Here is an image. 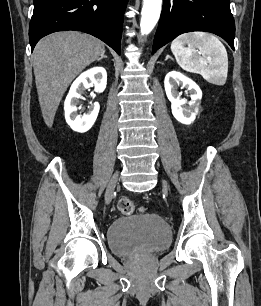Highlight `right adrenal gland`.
Masks as SVG:
<instances>
[{
	"instance_id": "2a0ac1e0",
	"label": "right adrenal gland",
	"mask_w": 261,
	"mask_h": 306,
	"mask_svg": "<svg viewBox=\"0 0 261 306\" xmlns=\"http://www.w3.org/2000/svg\"><path fill=\"white\" fill-rule=\"evenodd\" d=\"M104 58H107V56H106V55H102V56L98 59V61H101V60L104 59Z\"/></svg>"
}]
</instances>
